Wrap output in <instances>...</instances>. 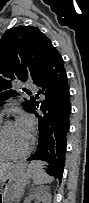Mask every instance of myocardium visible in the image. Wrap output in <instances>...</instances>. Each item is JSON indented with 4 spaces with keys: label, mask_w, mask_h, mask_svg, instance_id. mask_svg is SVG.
Listing matches in <instances>:
<instances>
[{
    "label": "myocardium",
    "mask_w": 89,
    "mask_h": 203,
    "mask_svg": "<svg viewBox=\"0 0 89 203\" xmlns=\"http://www.w3.org/2000/svg\"><path fill=\"white\" fill-rule=\"evenodd\" d=\"M8 124H12L11 122H6L4 123L2 126H1V129H0V141H1V144H2V147H3V150L5 151V128ZM31 142H32V138H29V142L27 143L26 147L21 150L20 152L18 153H7L5 151V156L7 158H19V157H22L23 155L27 154L28 151L30 150V147H31Z\"/></svg>",
    "instance_id": "obj_1"
}]
</instances>
